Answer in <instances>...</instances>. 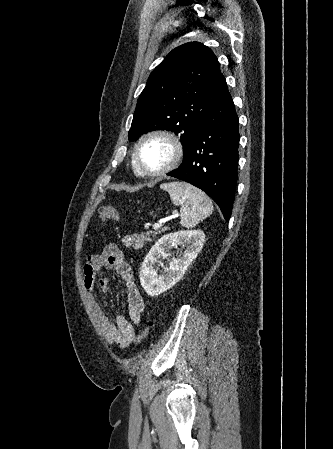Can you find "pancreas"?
<instances>
[{
	"mask_svg": "<svg viewBox=\"0 0 333 449\" xmlns=\"http://www.w3.org/2000/svg\"><path fill=\"white\" fill-rule=\"evenodd\" d=\"M165 229H162L164 231ZM157 232L148 231L146 233L141 232L140 234L135 235H127L124 238V244L127 247H133L134 249L138 250L142 248L144 245L147 244V242L151 241V236H155Z\"/></svg>",
	"mask_w": 333,
	"mask_h": 449,
	"instance_id": "obj_1",
	"label": "pancreas"
}]
</instances>
